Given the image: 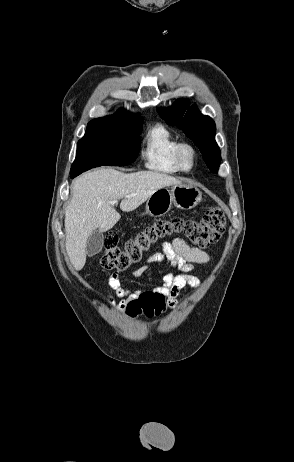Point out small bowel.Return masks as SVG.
<instances>
[{
    "instance_id": "1",
    "label": "small bowel",
    "mask_w": 294,
    "mask_h": 462,
    "mask_svg": "<svg viewBox=\"0 0 294 462\" xmlns=\"http://www.w3.org/2000/svg\"><path fill=\"white\" fill-rule=\"evenodd\" d=\"M210 260L207 252L189 246L183 239L175 238L169 243L162 245V250L151 255L147 259V263L134 270L132 275L140 277L145 274L153 265L162 262H168L175 270L180 271V274L165 273L162 277L163 284L155 287L150 291L162 295L169 307L175 308L177 305V297L185 287L197 288L200 281L197 276L191 274L195 264H205ZM109 288L113 291V295H108L107 303L118 310L126 308L131 299L137 298L142 291L126 289L122 286L118 273L114 272L108 280ZM114 296L122 298L120 302H116Z\"/></svg>"
}]
</instances>
